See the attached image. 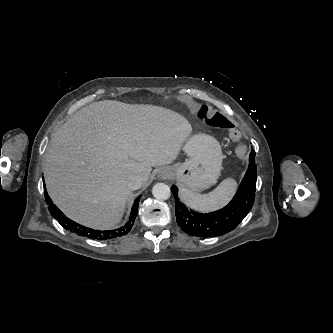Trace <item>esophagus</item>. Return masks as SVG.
<instances>
[{"mask_svg": "<svg viewBox=\"0 0 333 333\" xmlns=\"http://www.w3.org/2000/svg\"><path fill=\"white\" fill-rule=\"evenodd\" d=\"M162 178H164V179L167 178V175L163 173Z\"/></svg>", "mask_w": 333, "mask_h": 333, "instance_id": "esophagus-1", "label": "esophagus"}]
</instances>
